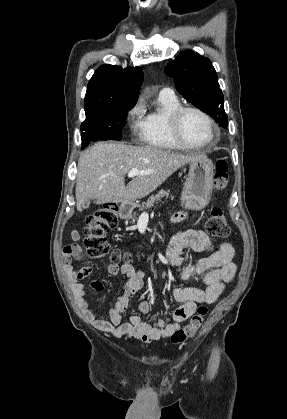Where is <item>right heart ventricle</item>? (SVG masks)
<instances>
[{
	"mask_svg": "<svg viewBox=\"0 0 287 419\" xmlns=\"http://www.w3.org/2000/svg\"><path fill=\"white\" fill-rule=\"evenodd\" d=\"M161 106L160 110L150 111L145 114L140 131V140L149 147L160 149H185L180 145L170 132L168 115L180 106L177 97L160 95L157 98Z\"/></svg>",
	"mask_w": 287,
	"mask_h": 419,
	"instance_id": "1",
	"label": "right heart ventricle"
}]
</instances>
